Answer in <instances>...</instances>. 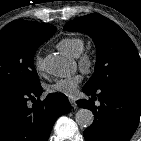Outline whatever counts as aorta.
I'll return each instance as SVG.
<instances>
[{"instance_id":"aorta-1","label":"aorta","mask_w":141,"mask_h":141,"mask_svg":"<svg viewBox=\"0 0 141 141\" xmlns=\"http://www.w3.org/2000/svg\"><path fill=\"white\" fill-rule=\"evenodd\" d=\"M44 68L47 73L55 77H67L73 72L71 62L58 54H49L44 59ZM94 115L89 109L81 108L76 113V122L80 127L92 125Z\"/></svg>"}]
</instances>
